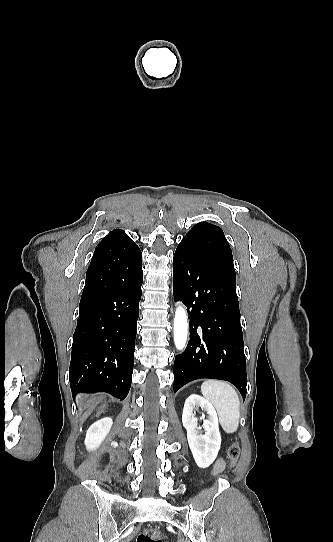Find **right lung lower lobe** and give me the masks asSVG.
Here are the masks:
<instances>
[{
    "instance_id": "98d812e1",
    "label": "right lung lower lobe",
    "mask_w": 333,
    "mask_h": 542,
    "mask_svg": "<svg viewBox=\"0 0 333 542\" xmlns=\"http://www.w3.org/2000/svg\"><path fill=\"white\" fill-rule=\"evenodd\" d=\"M142 281V253L132 239L95 249L73 335V395L103 391L116 398L127 396Z\"/></svg>"
}]
</instances>
